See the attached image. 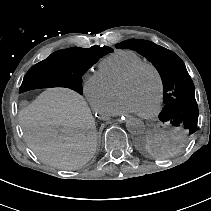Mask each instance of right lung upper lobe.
I'll use <instances>...</instances> for the list:
<instances>
[{"instance_id":"right-lung-upper-lobe-1","label":"right lung upper lobe","mask_w":211,"mask_h":211,"mask_svg":"<svg viewBox=\"0 0 211 211\" xmlns=\"http://www.w3.org/2000/svg\"><path fill=\"white\" fill-rule=\"evenodd\" d=\"M93 47H98V46H93ZM99 48H105L106 50H108V51H113L111 48H109V47H99Z\"/></svg>"}]
</instances>
